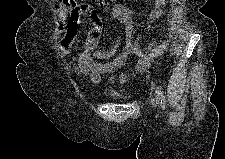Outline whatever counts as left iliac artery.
Returning a JSON list of instances; mask_svg holds the SVG:
<instances>
[{"label":"left iliac artery","mask_w":225,"mask_h":159,"mask_svg":"<svg viewBox=\"0 0 225 159\" xmlns=\"http://www.w3.org/2000/svg\"><path fill=\"white\" fill-rule=\"evenodd\" d=\"M156 93H157V97L159 98V100L161 102V107L165 108V102H166L165 96H164L163 91L160 86L157 87Z\"/></svg>","instance_id":"1"}]
</instances>
